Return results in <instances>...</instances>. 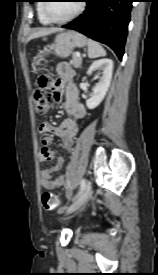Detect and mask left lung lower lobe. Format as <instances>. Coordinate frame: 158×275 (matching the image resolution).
Masks as SVG:
<instances>
[{"mask_svg": "<svg viewBox=\"0 0 158 275\" xmlns=\"http://www.w3.org/2000/svg\"><path fill=\"white\" fill-rule=\"evenodd\" d=\"M133 0H87L84 13L64 28L108 45L121 60Z\"/></svg>", "mask_w": 158, "mask_h": 275, "instance_id": "0a47b994", "label": "left lung lower lobe"}]
</instances>
